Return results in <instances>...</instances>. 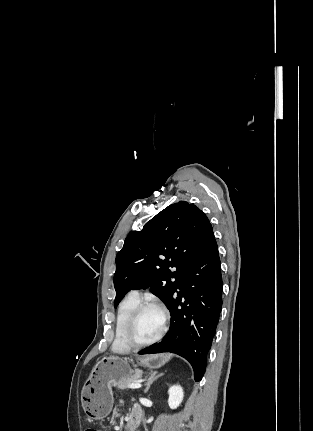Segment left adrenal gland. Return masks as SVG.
Wrapping results in <instances>:
<instances>
[{"label":"left adrenal gland","instance_id":"a2214340","mask_svg":"<svg viewBox=\"0 0 313 431\" xmlns=\"http://www.w3.org/2000/svg\"><path fill=\"white\" fill-rule=\"evenodd\" d=\"M163 375H164L163 373L158 374L156 371H155V372H153V373L148 377V379L146 380V383H145L146 388H145V390H144V393H147V392H148V390L150 389V386L152 385V383H153L155 380H157L159 377L163 376Z\"/></svg>","mask_w":313,"mask_h":431}]
</instances>
